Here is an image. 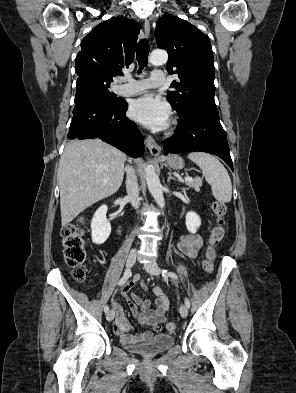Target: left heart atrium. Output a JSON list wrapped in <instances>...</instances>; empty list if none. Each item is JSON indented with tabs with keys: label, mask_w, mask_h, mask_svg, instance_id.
<instances>
[{
	"label": "left heart atrium",
	"mask_w": 296,
	"mask_h": 393,
	"mask_svg": "<svg viewBox=\"0 0 296 393\" xmlns=\"http://www.w3.org/2000/svg\"><path fill=\"white\" fill-rule=\"evenodd\" d=\"M130 116L153 130L164 129L169 120V105L159 97L147 93L135 99L129 109Z\"/></svg>",
	"instance_id": "left-heart-atrium-1"
}]
</instances>
